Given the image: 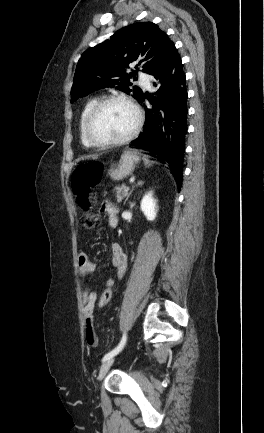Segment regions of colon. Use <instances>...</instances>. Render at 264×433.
I'll list each match as a JSON object with an SVG mask.
<instances>
[{
	"label": "colon",
	"instance_id": "5ec220e1",
	"mask_svg": "<svg viewBox=\"0 0 264 433\" xmlns=\"http://www.w3.org/2000/svg\"><path fill=\"white\" fill-rule=\"evenodd\" d=\"M103 167L99 162H86L78 165L72 173L71 186L77 204L84 210L80 224L85 229H93L100 222V214L93 209L94 197L92 189L102 179ZM114 288L109 285L101 294L99 308L104 309L114 296Z\"/></svg>",
	"mask_w": 264,
	"mask_h": 433
}]
</instances>
